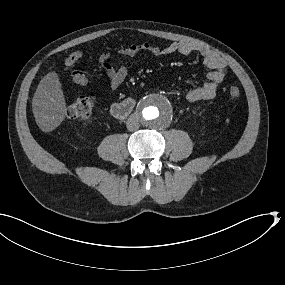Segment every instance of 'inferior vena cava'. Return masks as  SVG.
<instances>
[{
    "label": "inferior vena cava",
    "instance_id": "602c4592",
    "mask_svg": "<svg viewBox=\"0 0 285 285\" xmlns=\"http://www.w3.org/2000/svg\"><path fill=\"white\" fill-rule=\"evenodd\" d=\"M129 131H137L140 127L139 118L135 114H131L126 123Z\"/></svg>",
    "mask_w": 285,
    "mask_h": 285
}]
</instances>
